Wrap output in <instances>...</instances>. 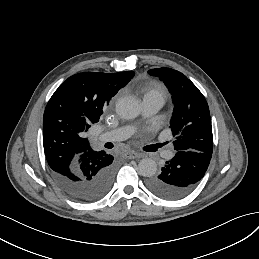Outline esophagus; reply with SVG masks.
Wrapping results in <instances>:
<instances>
[{
  "mask_svg": "<svg viewBox=\"0 0 259 259\" xmlns=\"http://www.w3.org/2000/svg\"><path fill=\"white\" fill-rule=\"evenodd\" d=\"M124 157L126 159H135V158H140L142 157L140 153L136 152V151H130L124 154Z\"/></svg>",
  "mask_w": 259,
  "mask_h": 259,
  "instance_id": "1",
  "label": "esophagus"
}]
</instances>
